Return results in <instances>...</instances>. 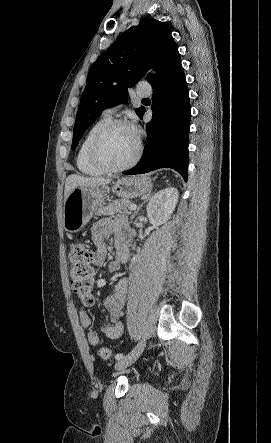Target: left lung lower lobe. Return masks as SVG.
<instances>
[{"label":"left lung lower lobe","mask_w":271,"mask_h":443,"mask_svg":"<svg viewBox=\"0 0 271 443\" xmlns=\"http://www.w3.org/2000/svg\"><path fill=\"white\" fill-rule=\"evenodd\" d=\"M159 76L148 78L153 88L152 120L146 124L147 137L140 162L125 175L172 168L187 181L190 101L178 48L158 64ZM145 109L139 117L142 119Z\"/></svg>","instance_id":"left-lung-lower-lobe-1"}]
</instances>
